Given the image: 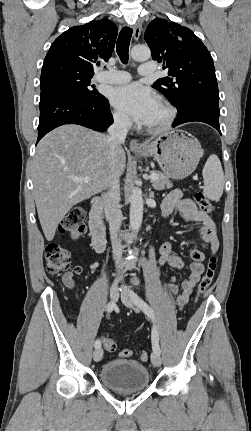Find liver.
<instances>
[{
	"label": "liver",
	"mask_w": 251,
	"mask_h": 431,
	"mask_svg": "<svg viewBox=\"0 0 251 431\" xmlns=\"http://www.w3.org/2000/svg\"><path fill=\"white\" fill-rule=\"evenodd\" d=\"M126 167L119 146L112 159L108 136L80 125H63L38 143L32 180L38 217L44 235L52 241L59 223L76 204L108 188ZM90 177L89 183L71 177Z\"/></svg>",
	"instance_id": "obj_1"
}]
</instances>
